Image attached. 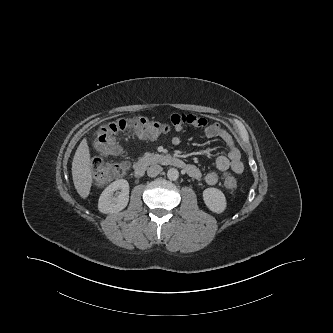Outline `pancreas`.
I'll return each instance as SVG.
<instances>
[{
	"instance_id": "cf45deb5",
	"label": "pancreas",
	"mask_w": 333,
	"mask_h": 333,
	"mask_svg": "<svg viewBox=\"0 0 333 333\" xmlns=\"http://www.w3.org/2000/svg\"><path fill=\"white\" fill-rule=\"evenodd\" d=\"M158 157H160L159 154H154V153H149V152H146L144 154V158H146V159H156Z\"/></svg>"
}]
</instances>
